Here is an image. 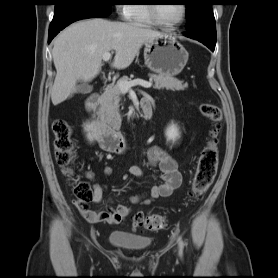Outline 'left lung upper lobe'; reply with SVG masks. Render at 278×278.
I'll return each mask as SVG.
<instances>
[{
  "label": "left lung upper lobe",
  "instance_id": "obj_1",
  "mask_svg": "<svg viewBox=\"0 0 278 278\" xmlns=\"http://www.w3.org/2000/svg\"><path fill=\"white\" fill-rule=\"evenodd\" d=\"M187 30L199 31L206 38L216 41V25L212 5L214 0H186Z\"/></svg>",
  "mask_w": 278,
  "mask_h": 278
}]
</instances>
